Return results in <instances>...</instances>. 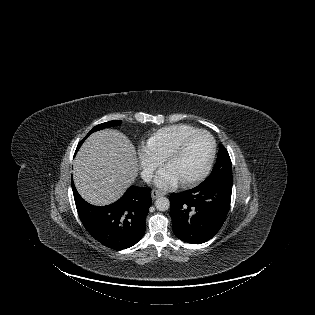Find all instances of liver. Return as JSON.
I'll return each instance as SVG.
<instances>
[{"instance_id": "6515ba94", "label": "liver", "mask_w": 315, "mask_h": 315, "mask_svg": "<svg viewBox=\"0 0 315 315\" xmlns=\"http://www.w3.org/2000/svg\"><path fill=\"white\" fill-rule=\"evenodd\" d=\"M137 174L135 147L123 133L113 129L90 135L74 160L75 186L93 205H108L119 199Z\"/></svg>"}]
</instances>
